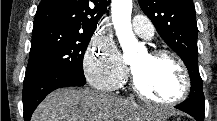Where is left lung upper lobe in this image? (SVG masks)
<instances>
[{
	"label": "left lung upper lobe",
	"instance_id": "1",
	"mask_svg": "<svg viewBox=\"0 0 217 121\" xmlns=\"http://www.w3.org/2000/svg\"><path fill=\"white\" fill-rule=\"evenodd\" d=\"M143 12L150 18L166 44L187 66L191 79L189 98L204 114L205 99L197 63L196 11L192 0H138Z\"/></svg>",
	"mask_w": 217,
	"mask_h": 121
}]
</instances>
